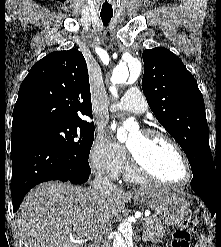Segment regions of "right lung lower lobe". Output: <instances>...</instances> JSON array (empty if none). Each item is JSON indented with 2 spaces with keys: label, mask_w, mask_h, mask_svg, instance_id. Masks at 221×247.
Returning <instances> with one entry per match:
<instances>
[{
  "label": "right lung lower lobe",
  "mask_w": 221,
  "mask_h": 247,
  "mask_svg": "<svg viewBox=\"0 0 221 247\" xmlns=\"http://www.w3.org/2000/svg\"><path fill=\"white\" fill-rule=\"evenodd\" d=\"M13 210L35 185L50 181L85 183L91 173L88 161L70 156L44 139L22 133L11 134Z\"/></svg>",
  "instance_id": "right-lung-lower-lobe-1"
}]
</instances>
